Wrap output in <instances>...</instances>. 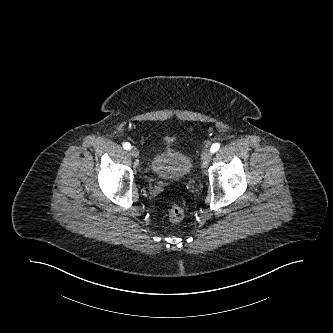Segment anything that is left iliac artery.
Returning a JSON list of instances; mask_svg holds the SVG:
<instances>
[{
	"label": "left iliac artery",
	"instance_id": "left-iliac-artery-1",
	"mask_svg": "<svg viewBox=\"0 0 333 333\" xmlns=\"http://www.w3.org/2000/svg\"><path fill=\"white\" fill-rule=\"evenodd\" d=\"M220 148V144L219 143H214L212 146H211V148H210V150H211V152H216L218 149Z\"/></svg>",
	"mask_w": 333,
	"mask_h": 333
}]
</instances>
